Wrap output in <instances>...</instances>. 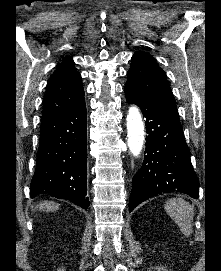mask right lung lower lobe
<instances>
[{
  "label": "right lung lower lobe",
  "mask_w": 221,
  "mask_h": 271,
  "mask_svg": "<svg viewBox=\"0 0 221 271\" xmlns=\"http://www.w3.org/2000/svg\"><path fill=\"white\" fill-rule=\"evenodd\" d=\"M86 129L85 102L73 110L42 118L31 198L49 194L82 208L89 206Z\"/></svg>",
  "instance_id": "right-lung-lower-lobe-1"
}]
</instances>
